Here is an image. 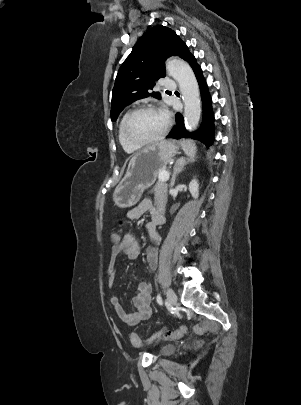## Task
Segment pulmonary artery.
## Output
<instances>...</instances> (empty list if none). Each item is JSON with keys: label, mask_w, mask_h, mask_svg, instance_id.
<instances>
[{"label": "pulmonary artery", "mask_w": 301, "mask_h": 405, "mask_svg": "<svg viewBox=\"0 0 301 405\" xmlns=\"http://www.w3.org/2000/svg\"><path fill=\"white\" fill-rule=\"evenodd\" d=\"M163 85L168 90H173L176 87L175 82L172 79L166 78L163 82Z\"/></svg>", "instance_id": "e3ab8cb5"}]
</instances>
